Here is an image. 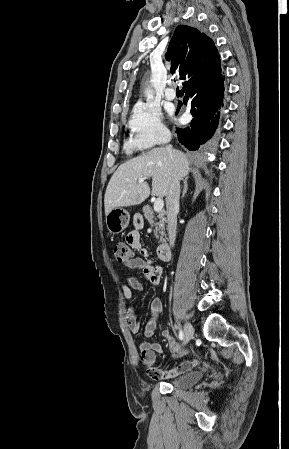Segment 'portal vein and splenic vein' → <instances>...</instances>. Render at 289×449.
Wrapping results in <instances>:
<instances>
[{"label":"portal vein and splenic vein","mask_w":289,"mask_h":449,"mask_svg":"<svg viewBox=\"0 0 289 449\" xmlns=\"http://www.w3.org/2000/svg\"><path fill=\"white\" fill-rule=\"evenodd\" d=\"M145 182L144 178H141L138 180V183H143ZM164 206V202L162 198H157L154 202V211L155 212H160L163 209Z\"/></svg>","instance_id":"obj_1"}]
</instances>
